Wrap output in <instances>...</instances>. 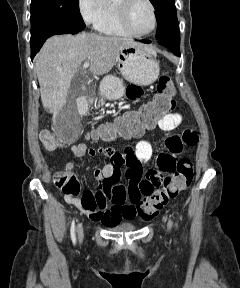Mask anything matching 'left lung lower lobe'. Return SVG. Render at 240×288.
Returning a JSON list of instances; mask_svg holds the SVG:
<instances>
[{
	"label": "left lung lower lobe",
	"instance_id": "left-lung-lower-lobe-1",
	"mask_svg": "<svg viewBox=\"0 0 240 288\" xmlns=\"http://www.w3.org/2000/svg\"><path fill=\"white\" fill-rule=\"evenodd\" d=\"M143 43H150L151 41H144L141 40ZM158 43L167 47L171 50L174 54L180 55V40H173V39H162L158 40Z\"/></svg>",
	"mask_w": 240,
	"mask_h": 288
}]
</instances>
